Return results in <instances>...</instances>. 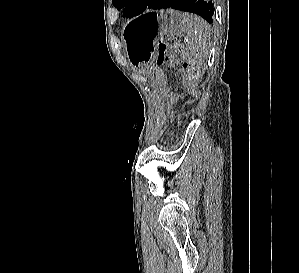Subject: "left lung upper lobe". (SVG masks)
Returning <instances> with one entry per match:
<instances>
[{
    "mask_svg": "<svg viewBox=\"0 0 299 273\" xmlns=\"http://www.w3.org/2000/svg\"><path fill=\"white\" fill-rule=\"evenodd\" d=\"M113 5L118 9H123L126 17H134L146 10L150 0H112Z\"/></svg>",
    "mask_w": 299,
    "mask_h": 273,
    "instance_id": "obj_1",
    "label": "left lung upper lobe"
}]
</instances>
